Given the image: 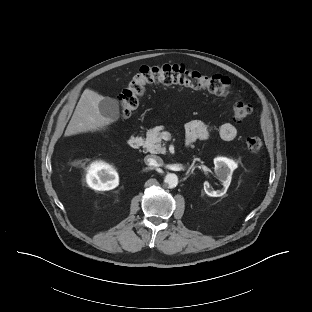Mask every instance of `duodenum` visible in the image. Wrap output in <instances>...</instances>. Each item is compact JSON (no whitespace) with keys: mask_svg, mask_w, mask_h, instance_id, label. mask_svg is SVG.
Returning <instances> with one entry per match:
<instances>
[{"mask_svg":"<svg viewBox=\"0 0 312 312\" xmlns=\"http://www.w3.org/2000/svg\"><path fill=\"white\" fill-rule=\"evenodd\" d=\"M142 143V138L136 135H133L128 139V145L132 149L140 148L142 146Z\"/></svg>","mask_w":312,"mask_h":312,"instance_id":"obj_1","label":"duodenum"}]
</instances>
